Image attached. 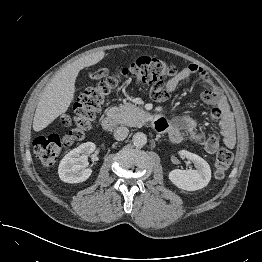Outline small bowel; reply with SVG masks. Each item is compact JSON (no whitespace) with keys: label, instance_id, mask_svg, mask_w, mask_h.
Instances as JSON below:
<instances>
[{"label":"small bowel","instance_id":"small-bowel-1","mask_svg":"<svg viewBox=\"0 0 262 262\" xmlns=\"http://www.w3.org/2000/svg\"><path fill=\"white\" fill-rule=\"evenodd\" d=\"M193 75H197L207 85V90L203 93L202 99L213 106L211 117L221 123L223 144L228 148H233L236 138L229 103L223 92L209 78L203 68L195 64L182 68L176 76L166 83V96L160 100L168 98L179 85L186 84ZM161 122L159 129L165 131L173 143L180 144L184 142L185 132L193 142L202 145L209 154L216 153L219 148L218 139L199 128L190 114L179 115L169 123L162 119Z\"/></svg>","mask_w":262,"mask_h":262}]
</instances>
